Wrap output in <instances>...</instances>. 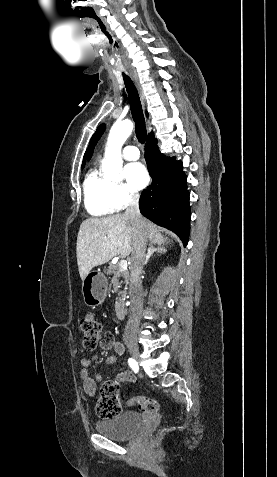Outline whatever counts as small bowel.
I'll use <instances>...</instances> for the list:
<instances>
[{
  "label": "small bowel",
  "instance_id": "obj_1",
  "mask_svg": "<svg viewBox=\"0 0 277 477\" xmlns=\"http://www.w3.org/2000/svg\"><path fill=\"white\" fill-rule=\"evenodd\" d=\"M100 348L103 350L113 349L118 355H121L124 352L123 344L117 341L114 338V336L110 333H106L104 335L103 339L100 342ZM97 360H98L97 355H94L92 357H86L81 360L82 370L80 372V379L82 382V387L84 392L90 397H95L96 390H97V383L101 382L103 379L100 373H97L94 378L91 377L89 374V368ZM117 361H118V357L112 355L105 358L104 363L110 365V364L116 363ZM116 380L118 382L135 383L136 376L130 371H122L117 374ZM125 404L132 405L133 402L131 398H128L127 400H125Z\"/></svg>",
  "mask_w": 277,
  "mask_h": 477
}]
</instances>
